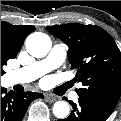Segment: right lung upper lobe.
<instances>
[{
  "mask_svg": "<svg viewBox=\"0 0 121 121\" xmlns=\"http://www.w3.org/2000/svg\"><path fill=\"white\" fill-rule=\"evenodd\" d=\"M35 28L29 25L13 26L1 21V43H3L12 55H17L22 47L24 39Z\"/></svg>",
  "mask_w": 121,
  "mask_h": 121,
  "instance_id": "right-lung-upper-lobe-1",
  "label": "right lung upper lobe"
}]
</instances>
